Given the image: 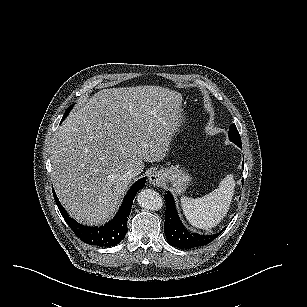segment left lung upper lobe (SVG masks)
<instances>
[{
	"instance_id": "obj_1",
	"label": "left lung upper lobe",
	"mask_w": 307,
	"mask_h": 307,
	"mask_svg": "<svg viewBox=\"0 0 307 307\" xmlns=\"http://www.w3.org/2000/svg\"><path fill=\"white\" fill-rule=\"evenodd\" d=\"M229 139L234 142L237 146H239L240 148H242V143H241V138L239 135V132L235 126V124L230 126V130H229Z\"/></svg>"
}]
</instances>
